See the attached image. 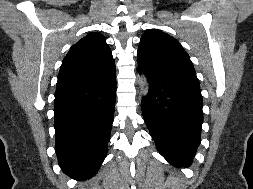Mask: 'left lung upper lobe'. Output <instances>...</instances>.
<instances>
[{"mask_svg": "<svg viewBox=\"0 0 253 189\" xmlns=\"http://www.w3.org/2000/svg\"><path fill=\"white\" fill-rule=\"evenodd\" d=\"M137 60L139 66L150 74L171 77L199 87L189 55L175 38L158 29L144 32Z\"/></svg>", "mask_w": 253, "mask_h": 189, "instance_id": "5c2ea615", "label": "left lung upper lobe"}]
</instances>
